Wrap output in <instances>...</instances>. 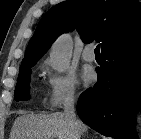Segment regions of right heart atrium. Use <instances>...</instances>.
<instances>
[{
    "label": "right heart atrium",
    "instance_id": "obj_1",
    "mask_svg": "<svg viewBox=\"0 0 141 139\" xmlns=\"http://www.w3.org/2000/svg\"><path fill=\"white\" fill-rule=\"evenodd\" d=\"M49 78L46 90V102L51 110H56L75 101L77 97V83L70 73L52 72L49 63L44 66Z\"/></svg>",
    "mask_w": 141,
    "mask_h": 139
}]
</instances>
